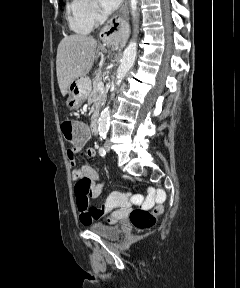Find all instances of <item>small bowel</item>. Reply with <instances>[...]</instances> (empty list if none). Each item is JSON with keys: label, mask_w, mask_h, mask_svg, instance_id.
Here are the masks:
<instances>
[{"label": "small bowel", "mask_w": 240, "mask_h": 288, "mask_svg": "<svg viewBox=\"0 0 240 288\" xmlns=\"http://www.w3.org/2000/svg\"><path fill=\"white\" fill-rule=\"evenodd\" d=\"M88 137L89 133L86 128V138L83 141L73 143V147L67 150L71 165H75L77 155L87 157L96 155L94 148L85 146ZM72 176L76 181L74 193L82 224L90 225L103 217L106 218L108 223L113 224L127 216L130 207L129 195L118 191L112 192L100 207L89 206V198L98 197L104 187L103 181H101L99 174L93 167L83 165L74 169ZM116 208L117 210H114Z\"/></svg>", "instance_id": "c3829d8e"}]
</instances>
